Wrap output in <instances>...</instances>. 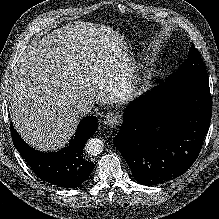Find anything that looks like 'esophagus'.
<instances>
[{
  "instance_id": "obj_1",
  "label": "esophagus",
  "mask_w": 219,
  "mask_h": 219,
  "mask_svg": "<svg viewBox=\"0 0 219 219\" xmlns=\"http://www.w3.org/2000/svg\"><path fill=\"white\" fill-rule=\"evenodd\" d=\"M102 122L106 126L114 127L120 123V118L115 113L110 112L103 117Z\"/></svg>"
}]
</instances>
